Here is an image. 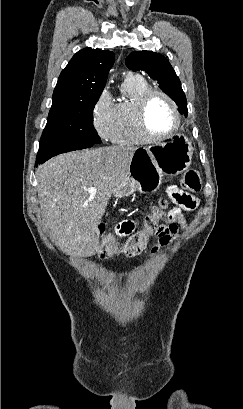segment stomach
<instances>
[{
	"label": "stomach",
	"instance_id": "stomach-1",
	"mask_svg": "<svg viewBox=\"0 0 243 409\" xmlns=\"http://www.w3.org/2000/svg\"><path fill=\"white\" fill-rule=\"evenodd\" d=\"M193 147L187 137L176 135L153 147L137 150L130 170L116 190L119 198L134 192H155L162 184L163 176L178 175L191 164Z\"/></svg>",
	"mask_w": 243,
	"mask_h": 409
}]
</instances>
